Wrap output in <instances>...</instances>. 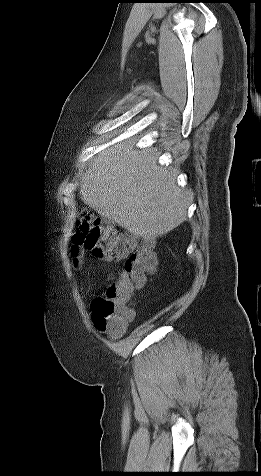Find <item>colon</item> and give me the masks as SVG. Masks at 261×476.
<instances>
[{"label": "colon", "instance_id": "colon-1", "mask_svg": "<svg viewBox=\"0 0 261 476\" xmlns=\"http://www.w3.org/2000/svg\"><path fill=\"white\" fill-rule=\"evenodd\" d=\"M83 250L100 260L125 261L120 280L106 286L102 296L92 303L95 327L113 337L120 336L134 318L133 292L142 288L146 276L156 270L153 242H136L118 233L109 221L85 214L73 238L71 252L75 264L79 263Z\"/></svg>", "mask_w": 261, "mask_h": 476}]
</instances>
